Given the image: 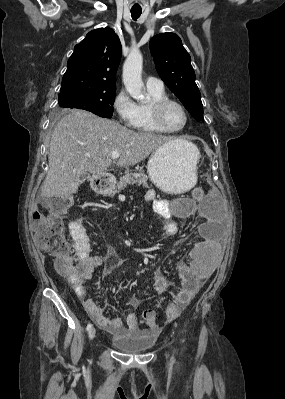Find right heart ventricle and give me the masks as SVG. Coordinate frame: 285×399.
I'll return each mask as SVG.
<instances>
[{
  "mask_svg": "<svg viewBox=\"0 0 285 399\" xmlns=\"http://www.w3.org/2000/svg\"><path fill=\"white\" fill-rule=\"evenodd\" d=\"M148 92L151 96V101L148 104L137 105V123L135 128L142 132L148 133H168L159 129L153 122L151 114V105L153 102L167 98L164 88L149 89Z\"/></svg>",
  "mask_w": 285,
  "mask_h": 399,
  "instance_id": "e07e8e85",
  "label": "right heart ventricle"
}]
</instances>
